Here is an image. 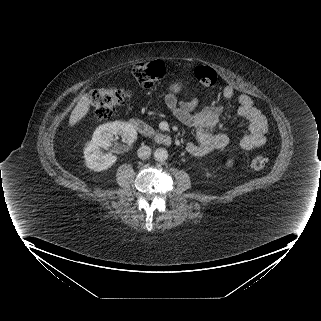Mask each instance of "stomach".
<instances>
[{
    "label": "stomach",
    "instance_id": "0dacf381",
    "mask_svg": "<svg viewBox=\"0 0 321 321\" xmlns=\"http://www.w3.org/2000/svg\"><path fill=\"white\" fill-rule=\"evenodd\" d=\"M169 90L174 94H179L182 91V85L180 82L172 81Z\"/></svg>",
    "mask_w": 321,
    "mask_h": 321
}]
</instances>
